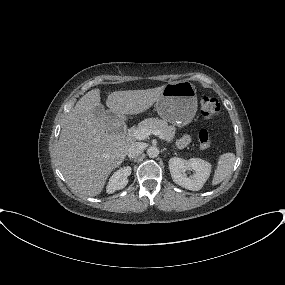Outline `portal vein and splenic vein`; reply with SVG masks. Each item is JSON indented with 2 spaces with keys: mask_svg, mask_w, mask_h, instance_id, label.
<instances>
[{
  "mask_svg": "<svg viewBox=\"0 0 285 285\" xmlns=\"http://www.w3.org/2000/svg\"><path fill=\"white\" fill-rule=\"evenodd\" d=\"M151 134L158 136L160 139H164L163 133L159 130H149L147 128H141V129H134L131 132V135L137 140H144L147 137H149Z\"/></svg>",
  "mask_w": 285,
  "mask_h": 285,
  "instance_id": "18ae733b",
  "label": "portal vein and splenic vein"
}]
</instances>
